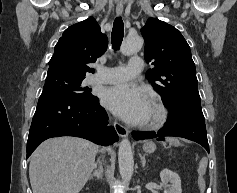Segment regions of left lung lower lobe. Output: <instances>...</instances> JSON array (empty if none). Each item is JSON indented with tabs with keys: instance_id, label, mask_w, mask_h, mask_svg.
<instances>
[{
	"instance_id": "0a47b994",
	"label": "left lung lower lobe",
	"mask_w": 237,
	"mask_h": 193,
	"mask_svg": "<svg viewBox=\"0 0 237 193\" xmlns=\"http://www.w3.org/2000/svg\"><path fill=\"white\" fill-rule=\"evenodd\" d=\"M135 140L151 139L164 140L165 136L182 137L202 145L209 152L203 113H189L177 119L169 118L166 126L158 132H132Z\"/></svg>"
}]
</instances>
